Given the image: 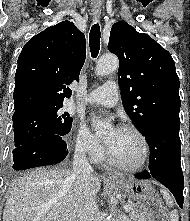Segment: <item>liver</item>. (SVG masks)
<instances>
[{"label": "liver", "instance_id": "6515ba94", "mask_svg": "<svg viewBox=\"0 0 190 221\" xmlns=\"http://www.w3.org/2000/svg\"><path fill=\"white\" fill-rule=\"evenodd\" d=\"M92 190L101 188L92 175ZM79 194L68 170L36 169L16 179L9 189L3 221H77Z\"/></svg>", "mask_w": 190, "mask_h": 221}]
</instances>
